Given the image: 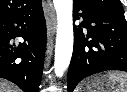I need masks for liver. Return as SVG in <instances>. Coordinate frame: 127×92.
Masks as SVG:
<instances>
[{
	"mask_svg": "<svg viewBox=\"0 0 127 92\" xmlns=\"http://www.w3.org/2000/svg\"><path fill=\"white\" fill-rule=\"evenodd\" d=\"M0 92H21L14 84L0 78Z\"/></svg>",
	"mask_w": 127,
	"mask_h": 92,
	"instance_id": "1",
	"label": "liver"
}]
</instances>
